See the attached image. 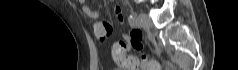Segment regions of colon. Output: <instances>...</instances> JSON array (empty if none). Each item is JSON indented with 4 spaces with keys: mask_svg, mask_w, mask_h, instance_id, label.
Returning <instances> with one entry per match:
<instances>
[{
    "mask_svg": "<svg viewBox=\"0 0 238 70\" xmlns=\"http://www.w3.org/2000/svg\"><path fill=\"white\" fill-rule=\"evenodd\" d=\"M142 33L139 30H133L131 33H124L119 36V42H113L111 45L112 59L124 70H138L141 66L143 70H160V65L155 61L143 58L141 61L130 54H125L127 44L130 48H141L140 40Z\"/></svg>",
    "mask_w": 238,
    "mask_h": 70,
    "instance_id": "5ec220e1",
    "label": "colon"
}]
</instances>
